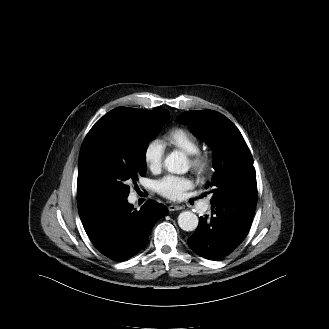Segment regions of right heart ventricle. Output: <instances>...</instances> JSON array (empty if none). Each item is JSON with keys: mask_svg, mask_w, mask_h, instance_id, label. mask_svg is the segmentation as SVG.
Instances as JSON below:
<instances>
[{"mask_svg": "<svg viewBox=\"0 0 329 329\" xmlns=\"http://www.w3.org/2000/svg\"><path fill=\"white\" fill-rule=\"evenodd\" d=\"M165 140L168 144L184 151L187 154L196 153L200 149L198 139L186 128H172L165 135Z\"/></svg>", "mask_w": 329, "mask_h": 329, "instance_id": "obj_1", "label": "right heart ventricle"}]
</instances>
